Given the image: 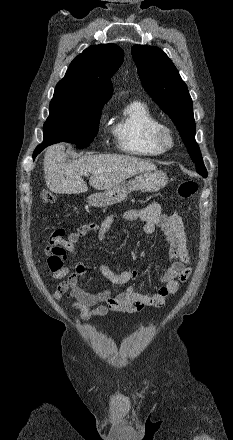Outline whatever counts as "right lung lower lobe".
Returning a JSON list of instances; mask_svg holds the SVG:
<instances>
[{"instance_id": "1", "label": "right lung lower lobe", "mask_w": 233, "mask_h": 440, "mask_svg": "<svg viewBox=\"0 0 233 440\" xmlns=\"http://www.w3.org/2000/svg\"><path fill=\"white\" fill-rule=\"evenodd\" d=\"M47 147V145L45 144H41L39 146H37V148L35 149L34 153H33V159H35V157L45 148Z\"/></svg>"}]
</instances>
